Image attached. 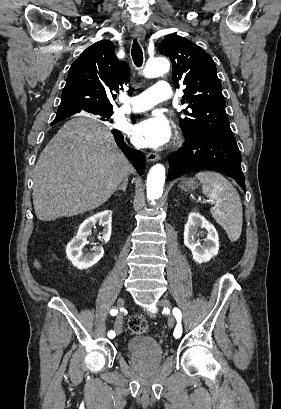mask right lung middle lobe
Returning a JSON list of instances; mask_svg holds the SVG:
<instances>
[{"label":"right lung middle lobe","mask_w":281,"mask_h":409,"mask_svg":"<svg viewBox=\"0 0 281 409\" xmlns=\"http://www.w3.org/2000/svg\"><path fill=\"white\" fill-rule=\"evenodd\" d=\"M93 114L99 115L103 120H107L113 114V111H101V112H96V113H93ZM58 122L59 121H53L52 125H54V124H56Z\"/></svg>","instance_id":"obj_1"}]
</instances>
